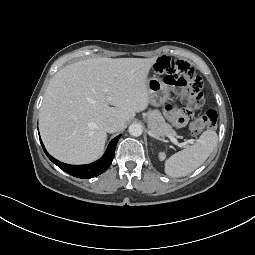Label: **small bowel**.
I'll use <instances>...</instances> for the list:
<instances>
[{
	"label": "small bowel",
	"instance_id": "c3829d8e",
	"mask_svg": "<svg viewBox=\"0 0 255 255\" xmlns=\"http://www.w3.org/2000/svg\"><path fill=\"white\" fill-rule=\"evenodd\" d=\"M171 120L178 126L189 124L194 117L193 111L190 108H169Z\"/></svg>",
	"mask_w": 255,
	"mask_h": 255
}]
</instances>
